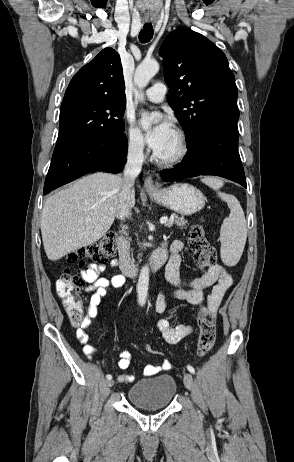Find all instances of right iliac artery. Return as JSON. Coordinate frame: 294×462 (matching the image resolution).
Here are the masks:
<instances>
[{"mask_svg": "<svg viewBox=\"0 0 294 462\" xmlns=\"http://www.w3.org/2000/svg\"><path fill=\"white\" fill-rule=\"evenodd\" d=\"M106 378H107L108 380H111V379H112V376H111L110 374H108V375H106Z\"/></svg>", "mask_w": 294, "mask_h": 462, "instance_id": "obj_1", "label": "right iliac artery"}]
</instances>
